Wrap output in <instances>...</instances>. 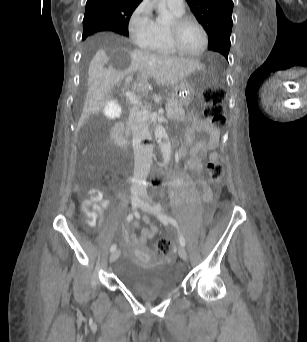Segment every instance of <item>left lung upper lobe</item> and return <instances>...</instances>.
I'll list each match as a JSON object with an SVG mask.
<instances>
[{"label": "left lung upper lobe", "mask_w": 307, "mask_h": 342, "mask_svg": "<svg viewBox=\"0 0 307 342\" xmlns=\"http://www.w3.org/2000/svg\"><path fill=\"white\" fill-rule=\"evenodd\" d=\"M209 36L208 49L228 58L233 25L232 0H186Z\"/></svg>", "instance_id": "1"}]
</instances>
